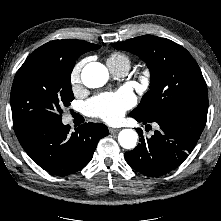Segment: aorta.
Instances as JSON below:
<instances>
[{
    "mask_svg": "<svg viewBox=\"0 0 221 221\" xmlns=\"http://www.w3.org/2000/svg\"><path fill=\"white\" fill-rule=\"evenodd\" d=\"M81 79L88 88H99L104 86L109 79L107 68L99 62L88 63L82 70ZM138 134L133 129H123L118 135V142L125 149L136 147Z\"/></svg>",
    "mask_w": 221,
    "mask_h": 221,
    "instance_id": "1",
    "label": "aorta"
}]
</instances>
